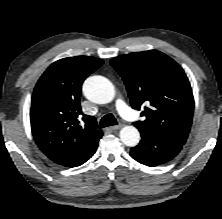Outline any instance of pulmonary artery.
<instances>
[{"mask_svg":"<svg viewBox=\"0 0 222 219\" xmlns=\"http://www.w3.org/2000/svg\"><path fill=\"white\" fill-rule=\"evenodd\" d=\"M117 110L120 114L129 121H136L138 120L137 114L127 106L122 100H119L116 104Z\"/></svg>","mask_w":222,"mask_h":219,"instance_id":"pulmonary-artery-1","label":"pulmonary artery"}]
</instances>
